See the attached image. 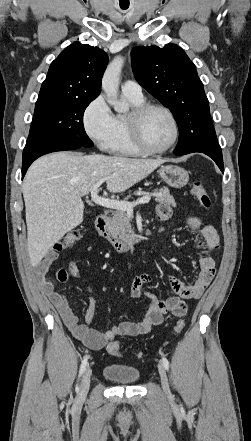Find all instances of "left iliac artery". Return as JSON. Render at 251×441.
<instances>
[{"label":"left iliac artery","instance_id":"left-iliac-artery-1","mask_svg":"<svg viewBox=\"0 0 251 441\" xmlns=\"http://www.w3.org/2000/svg\"><path fill=\"white\" fill-rule=\"evenodd\" d=\"M162 364H163V366L165 367L166 370L169 369V362H168L166 357H162Z\"/></svg>","mask_w":251,"mask_h":441}]
</instances>
